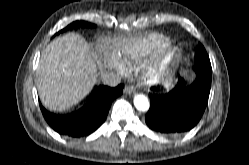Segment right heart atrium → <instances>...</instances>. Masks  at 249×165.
<instances>
[{"instance_id": "right-heart-atrium-1", "label": "right heart atrium", "mask_w": 249, "mask_h": 165, "mask_svg": "<svg viewBox=\"0 0 249 165\" xmlns=\"http://www.w3.org/2000/svg\"><path fill=\"white\" fill-rule=\"evenodd\" d=\"M112 66L121 74H127L128 73V67L127 64L118 58L112 59Z\"/></svg>"}]
</instances>
